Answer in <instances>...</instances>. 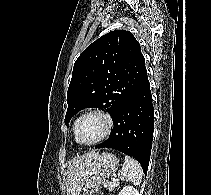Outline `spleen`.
Wrapping results in <instances>:
<instances>
[{
    "label": "spleen",
    "mask_w": 211,
    "mask_h": 195,
    "mask_svg": "<svg viewBox=\"0 0 211 195\" xmlns=\"http://www.w3.org/2000/svg\"><path fill=\"white\" fill-rule=\"evenodd\" d=\"M122 180L139 185L142 180L143 170L140 164L129 156H125L123 168L118 173Z\"/></svg>",
    "instance_id": "spleen-1"
}]
</instances>
